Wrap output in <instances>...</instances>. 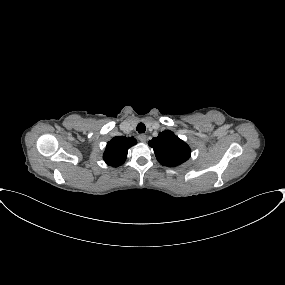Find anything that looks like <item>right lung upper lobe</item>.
<instances>
[{
    "instance_id": "cb5924a9",
    "label": "right lung upper lobe",
    "mask_w": 285,
    "mask_h": 285,
    "mask_svg": "<svg viewBox=\"0 0 285 285\" xmlns=\"http://www.w3.org/2000/svg\"><path fill=\"white\" fill-rule=\"evenodd\" d=\"M137 143L134 137H114L107 143L103 159L110 166L122 165L127 157L128 149Z\"/></svg>"
}]
</instances>
